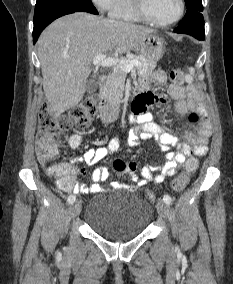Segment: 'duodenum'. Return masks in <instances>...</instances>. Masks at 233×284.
Here are the masks:
<instances>
[{"label": "duodenum", "mask_w": 233, "mask_h": 284, "mask_svg": "<svg viewBox=\"0 0 233 284\" xmlns=\"http://www.w3.org/2000/svg\"><path fill=\"white\" fill-rule=\"evenodd\" d=\"M98 81L101 88H105L108 83V76L102 74L98 77ZM120 113L119 107L103 102L98 110V117L104 123L114 122Z\"/></svg>", "instance_id": "1"}]
</instances>
